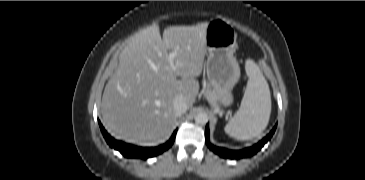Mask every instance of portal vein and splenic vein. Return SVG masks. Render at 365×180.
<instances>
[{
  "label": "portal vein and splenic vein",
  "instance_id": "portal-vein-and-splenic-vein-1",
  "mask_svg": "<svg viewBox=\"0 0 365 180\" xmlns=\"http://www.w3.org/2000/svg\"><path fill=\"white\" fill-rule=\"evenodd\" d=\"M176 55H177V51L175 50V51L170 52L167 56V59L173 69H175L174 59H175Z\"/></svg>",
  "mask_w": 365,
  "mask_h": 180
}]
</instances>
